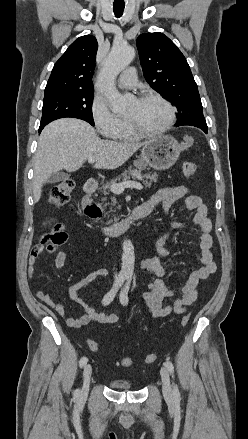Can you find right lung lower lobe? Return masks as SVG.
<instances>
[{
	"label": "right lung lower lobe",
	"instance_id": "obj_1",
	"mask_svg": "<svg viewBox=\"0 0 248 439\" xmlns=\"http://www.w3.org/2000/svg\"><path fill=\"white\" fill-rule=\"evenodd\" d=\"M47 124H40V127H39V133L42 131V129L46 126Z\"/></svg>",
	"mask_w": 248,
	"mask_h": 439
}]
</instances>
